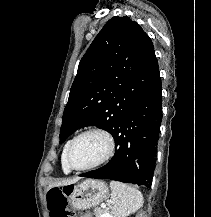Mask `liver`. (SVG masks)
I'll list each match as a JSON object with an SVG mask.
<instances>
[{
	"mask_svg": "<svg viewBox=\"0 0 211 217\" xmlns=\"http://www.w3.org/2000/svg\"><path fill=\"white\" fill-rule=\"evenodd\" d=\"M80 178L79 177H76V178H73V179H70V180H66V181H61V182H56L54 184H51L49 186V188H52L54 186H67V185H71V184H74L76 183Z\"/></svg>",
	"mask_w": 211,
	"mask_h": 217,
	"instance_id": "1",
	"label": "liver"
}]
</instances>
